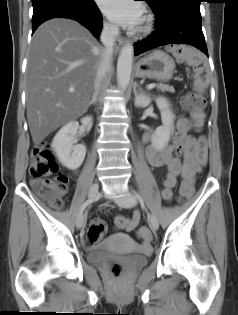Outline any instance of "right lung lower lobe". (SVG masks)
<instances>
[{"label": "right lung lower lobe", "instance_id": "right-lung-lower-lobe-1", "mask_svg": "<svg viewBox=\"0 0 238 315\" xmlns=\"http://www.w3.org/2000/svg\"><path fill=\"white\" fill-rule=\"evenodd\" d=\"M32 34L52 18H70L88 28L94 36L102 29V16L94 0H32Z\"/></svg>", "mask_w": 238, "mask_h": 315}]
</instances>
